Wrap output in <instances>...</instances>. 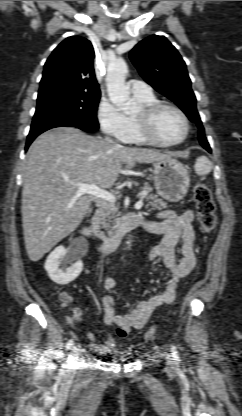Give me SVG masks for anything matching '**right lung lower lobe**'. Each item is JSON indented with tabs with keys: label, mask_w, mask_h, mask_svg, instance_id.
Masks as SVG:
<instances>
[{
	"label": "right lung lower lobe",
	"mask_w": 242,
	"mask_h": 416,
	"mask_svg": "<svg viewBox=\"0 0 242 416\" xmlns=\"http://www.w3.org/2000/svg\"><path fill=\"white\" fill-rule=\"evenodd\" d=\"M61 126H71V127H77L84 131H91L89 128L86 127V125H83L79 121H73L69 119H63L60 121H52V122H45L38 124L34 127H31V130L29 132V135L27 137V142L25 146V151H27L29 145L32 143V141L42 132L49 130L54 127H61Z\"/></svg>",
	"instance_id": "obj_1"
}]
</instances>
